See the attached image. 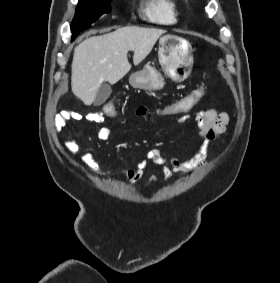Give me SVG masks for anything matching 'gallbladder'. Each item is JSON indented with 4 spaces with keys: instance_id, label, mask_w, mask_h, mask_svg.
I'll return each mask as SVG.
<instances>
[{
    "instance_id": "gallbladder-1",
    "label": "gallbladder",
    "mask_w": 280,
    "mask_h": 283,
    "mask_svg": "<svg viewBox=\"0 0 280 283\" xmlns=\"http://www.w3.org/2000/svg\"><path fill=\"white\" fill-rule=\"evenodd\" d=\"M111 92V86L108 83H102L96 93L94 105L99 106L103 104L109 98Z\"/></svg>"
}]
</instances>
